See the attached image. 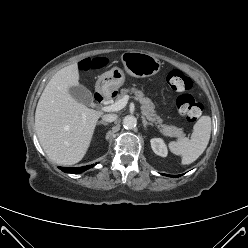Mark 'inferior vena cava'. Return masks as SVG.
Instances as JSON below:
<instances>
[{
    "label": "inferior vena cava",
    "instance_id": "inferior-vena-cava-1",
    "mask_svg": "<svg viewBox=\"0 0 248 248\" xmlns=\"http://www.w3.org/2000/svg\"><path fill=\"white\" fill-rule=\"evenodd\" d=\"M117 119L116 114H105L102 116V120L105 122H113Z\"/></svg>",
    "mask_w": 248,
    "mask_h": 248
}]
</instances>
